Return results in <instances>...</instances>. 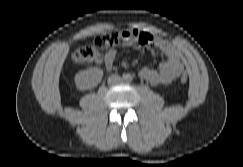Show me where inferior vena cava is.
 <instances>
[{
    "mask_svg": "<svg viewBox=\"0 0 243 167\" xmlns=\"http://www.w3.org/2000/svg\"><path fill=\"white\" fill-rule=\"evenodd\" d=\"M121 77L118 76V75H111L109 78H108V84L110 85H113V84H117L121 81Z\"/></svg>",
    "mask_w": 243,
    "mask_h": 167,
    "instance_id": "1",
    "label": "inferior vena cava"
}]
</instances>
